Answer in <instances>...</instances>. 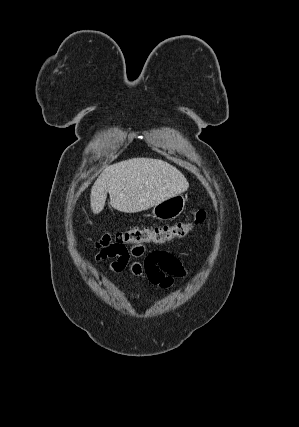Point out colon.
Segmentation results:
<instances>
[{
	"instance_id": "obj_1",
	"label": "colon",
	"mask_w": 299,
	"mask_h": 427,
	"mask_svg": "<svg viewBox=\"0 0 299 427\" xmlns=\"http://www.w3.org/2000/svg\"><path fill=\"white\" fill-rule=\"evenodd\" d=\"M205 210L195 207L187 221L167 225L132 227L103 235L95 244L100 258L115 257L127 251L128 246L162 245L188 236L195 226L205 220Z\"/></svg>"
}]
</instances>
